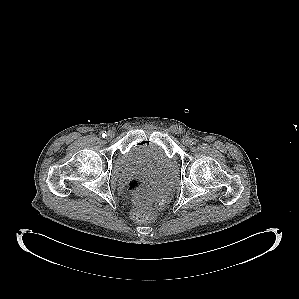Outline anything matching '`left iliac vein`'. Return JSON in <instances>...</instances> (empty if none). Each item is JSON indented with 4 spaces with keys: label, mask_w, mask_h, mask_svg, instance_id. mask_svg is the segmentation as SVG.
<instances>
[{
    "label": "left iliac vein",
    "mask_w": 299,
    "mask_h": 299,
    "mask_svg": "<svg viewBox=\"0 0 299 299\" xmlns=\"http://www.w3.org/2000/svg\"><path fill=\"white\" fill-rule=\"evenodd\" d=\"M182 143H183L184 145L188 146V145H190V143H191V139H190L188 136H184V137L182 138Z\"/></svg>",
    "instance_id": "4c4485c4"
}]
</instances>
